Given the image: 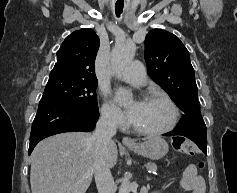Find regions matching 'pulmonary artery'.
Wrapping results in <instances>:
<instances>
[{"label": "pulmonary artery", "mask_w": 237, "mask_h": 193, "mask_svg": "<svg viewBox=\"0 0 237 193\" xmlns=\"http://www.w3.org/2000/svg\"><path fill=\"white\" fill-rule=\"evenodd\" d=\"M118 77L134 86H142L146 82V74L140 61H133Z\"/></svg>", "instance_id": "1"}]
</instances>
